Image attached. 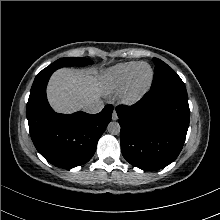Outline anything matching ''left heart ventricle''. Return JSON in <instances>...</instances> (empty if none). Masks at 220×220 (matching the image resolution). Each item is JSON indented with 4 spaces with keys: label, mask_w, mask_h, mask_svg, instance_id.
I'll use <instances>...</instances> for the list:
<instances>
[{
    "label": "left heart ventricle",
    "mask_w": 220,
    "mask_h": 220,
    "mask_svg": "<svg viewBox=\"0 0 220 220\" xmlns=\"http://www.w3.org/2000/svg\"><path fill=\"white\" fill-rule=\"evenodd\" d=\"M149 74H150V70L147 66L140 67V69L137 72V76H136L137 82L138 83L145 82L148 79Z\"/></svg>",
    "instance_id": "1"
}]
</instances>
